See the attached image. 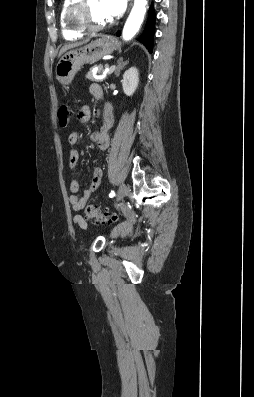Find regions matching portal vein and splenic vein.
Segmentation results:
<instances>
[{"label": "portal vein and splenic vein", "mask_w": 254, "mask_h": 397, "mask_svg": "<svg viewBox=\"0 0 254 397\" xmlns=\"http://www.w3.org/2000/svg\"><path fill=\"white\" fill-rule=\"evenodd\" d=\"M115 69V65L111 66L109 69H106L102 76L97 77L98 79H102L105 75L110 74Z\"/></svg>", "instance_id": "obj_1"}]
</instances>
